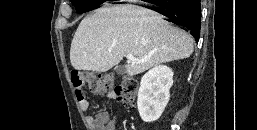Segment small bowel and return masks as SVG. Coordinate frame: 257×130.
I'll list each match as a JSON object with an SVG mask.
<instances>
[{
  "mask_svg": "<svg viewBox=\"0 0 257 130\" xmlns=\"http://www.w3.org/2000/svg\"><path fill=\"white\" fill-rule=\"evenodd\" d=\"M79 106L92 130H116L117 116L110 117L108 113L101 112L96 117L89 112V102L86 98L78 99Z\"/></svg>",
  "mask_w": 257,
  "mask_h": 130,
  "instance_id": "small-bowel-1",
  "label": "small bowel"
}]
</instances>
